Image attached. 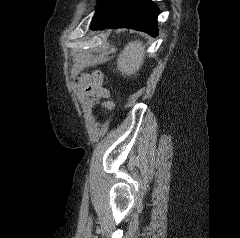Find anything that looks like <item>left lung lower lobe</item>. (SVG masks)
I'll use <instances>...</instances> for the list:
<instances>
[{
    "mask_svg": "<svg viewBox=\"0 0 240 238\" xmlns=\"http://www.w3.org/2000/svg\"><path fill=\"white\" fill-rule=\"evenodd\" d=\"M95 15L90 27L132 28L158 35V7L151 0H98Z\"/></svg>",
    "mask_w": 240,
    "mask_h": 238,
    "instance_id": "0a47b994",
    "label": "left lung lower lobe"
}]
</instances>
